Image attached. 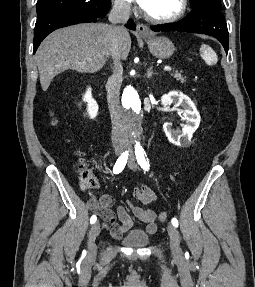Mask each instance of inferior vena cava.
I'll return each mask as SVG.
<instances>
[{
  "label": "inferior vena cava",
  "mask_w": 255,
  "mask_h": 287,
  "mask_svg": "<svg viewBox=\"0 0 255 287\" xmlns=\"http://www.w3.org/2000/svg\"><path fill=\"white\" fill-rule=\"evenodd\" d=\"M130 18V4L115 0L114 6L109 14L110 26V42L109 52L113 60L112 76H110L107 84V102L112 122V144L114 147H126L128 144V130L122 124V114L119 100V90L122 84L123 66L120 62V38L125 30L123 26L116 24H126Z\"/></svg>",
  "instance_id": "1"
}]
</instances>
